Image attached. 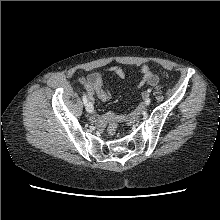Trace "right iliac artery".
Returning a JSON list of instances; mask_svg holds the SVG:
<instances>
[{"mask_svg":"<svg viewBox=\"0 0 220 220\" xmlns=\"http://www.w3.org/2000/svg\"><path fill=\"white\" fill-rule=\"evenodd\" d=\"M82 100H83L84 105H86L87 102H88V99H87L86 94H83V96H82Z\"/></svg>","mask_w":220,"mask_h":220,"instance_id":"82829eb1","label":"right iliac artery"}]
</instances>
